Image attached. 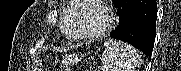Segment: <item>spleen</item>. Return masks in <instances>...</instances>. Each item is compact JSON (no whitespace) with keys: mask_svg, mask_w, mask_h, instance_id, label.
<instances>
[{"mask_svg":"<svg viewBox=\"0 0 181 71\" xmlns=\"http://www.w3.org/2000/svg\"><path fill=\"white\" fill-rule=\"evenodd\" d=\"M102 54V71H137L141 57L132 46L118 41L107 40Z\"/></svg>","mask_w":181,"mask_h":71,"instance_id":"3e777b00","label":"spleen"}]
</instances>
